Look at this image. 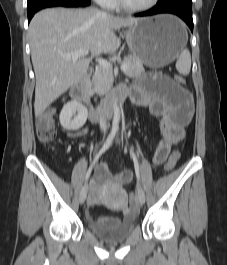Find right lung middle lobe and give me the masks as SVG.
Wrapping results in <instances>:
<instances>
[{
  "instance_id": "right-lung-middle-lobe-1",
  "label": "right lung middle lobe",
  "mask_w": 227,
  "mask_h": 265,
  "mask_svg": "<svg viewBox=\"0 0 227 265\" xmlns=\"http://www.w3.org/2000/svg\"><path fill=\"white\" fill-rule=\"evenodd\" d=\"M39 0H28L27 6H31L35 3H37Z\"/></svg>"
}]
</instances>
